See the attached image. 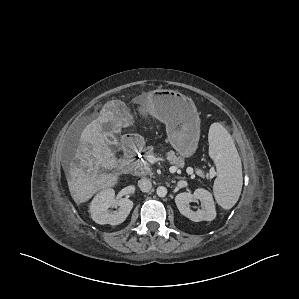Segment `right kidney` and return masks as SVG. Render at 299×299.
I'll use <instances>...</instances> for the list:
<instances>
[{
  "mask_svg": "<svg viewBox=\"0 0 299 299\" xmlns=\"http://www.w3.org/2000/svg\"><path fill=\"white\" fill-rule=\"evenodd\" d=\"M114 205L118 210L109 212V208ZM133 208V202L128 198H121L115 201V192L113 189H104L100 191L90 204V213L92 219L97 224L118 225L125 221Z\"/></svg>",
  "mask_w": 299,
  "mask_h": 299,
  "instance_id": "1",
  "label": "right kidney"
}]
</instances>
